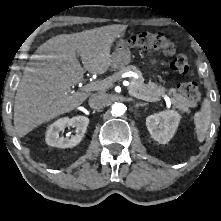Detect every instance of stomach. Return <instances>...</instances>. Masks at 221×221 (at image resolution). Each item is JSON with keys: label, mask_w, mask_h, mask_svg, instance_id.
Here are the masks:
<instances>
[{"label": "stomach", "mask_w": 221, "mask_h": 221, "mask_svg": "<svg viewBox=\"0 0 221 221\" xmlns=\"http://www.w3.org/2000/svg\"><path fill=\"white\" fill-rule=\"evenodd\" d=\"M131 61V51L127 41L120 36L116 42L115 51L111 55V67L121 69ZM155 60H152L154 63Z\"/></svg>", "instance_id": "1"}]
</instances>
